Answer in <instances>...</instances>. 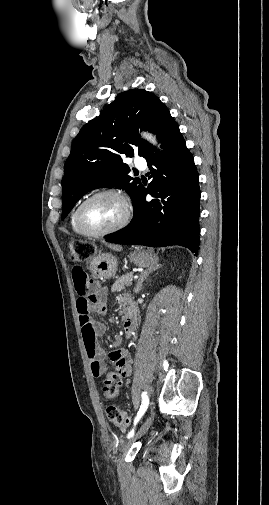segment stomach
Here are the masks:
<instances>
[{
    "instance_id": "obj_1",
    "label": "stomach",
    "mask_w": 269,
    "mask_h": 505,
    "mask_svg": "<svg viewBox=\"0 0 269 505\" xmlns=\"http://www.w3.org/2000/svg\"><path fill=\"white\" fill-rule=\"evenodd\" d=\"M130 261L138 267H151L158 257L150 250L137 248L130 254ZM91 273L101 279H109L117 272V259L110 253L99 254L90 261Z\"/></svg>"
}]
</instances>
